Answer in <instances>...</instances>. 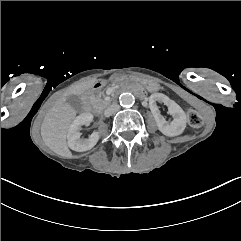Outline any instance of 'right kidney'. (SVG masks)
Wrapping results in <instances>:
<instances>
[{"label": "right kidney", "instance_id": "1", "mask_svg": "<svg viewBox=\"0 0 241 241\" xmlns=\"http://www.w3.org/2000/svg\"><path fill=\"white\" fill-rule=\"evenodd\" d=\"M93 121V115L91 113H82L77 116L71 123L68 134V146L70 149L83 152L93 148L99 140L98 132H93L88 139H81V127L83 125L88 126Z\"/></svg>", "mask_w": 241, "mask_h": 241}]
</instances>
